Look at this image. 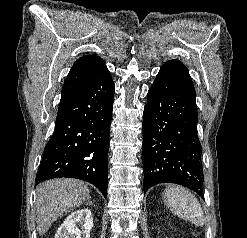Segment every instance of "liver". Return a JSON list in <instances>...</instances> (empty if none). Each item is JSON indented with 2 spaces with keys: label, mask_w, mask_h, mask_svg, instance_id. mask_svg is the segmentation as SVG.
I'll return each instance as SVG.
<instances>
[{
  "label": "liver",
  "mask_w": 247,
  "mask_h": 238,
  "mask_svg": "<svg viewBox=\"0 0 247 238\" xmlns=\"http://www.w3.org/2000/svg\"><path fill=\"white\" fill-rule=\"evenodd\" d=\"M89 198L87 185L76 179H53L37 188L35 205L37 231L44 235L62 214Z\"/></svg>",
  "instance_id": "liver-1"
}]
</instances>
